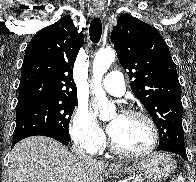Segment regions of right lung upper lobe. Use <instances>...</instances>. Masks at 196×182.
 I'll return each instance as SVG.
<instances>
[{
    "instance_id": "obj_1",
    "label": "right lung upper lobe",
    "mask_w": 196,
    "mask_h": 182,
    "mask_svg": "<svg viewBox=\"0 0 196 182\" xmlns=\"http://www.w3.org/2000/svg\"><path fill=\"white\" fill-rule=\"evenodd\" d=\"M84 42L70 16L38 31L28 44L17 105L39 99L77 97L74 61Z\"/></svg>"
}]
</instances>
